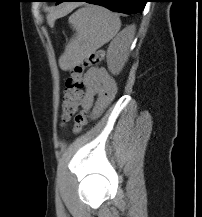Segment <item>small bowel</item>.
<instances>
[{"label": "small bowel", "instance_id": "obj_1", "mask_svg": "<svg viewBox=\"0 0 202 217\" xmlns=\"http://www.w3.org/2000/svg\"><path fill=\"white\" fill-rule=\"evenodd\" d=\"M84 93L81 99L83 109L88 110L99 94L103 104L111 101L117 92L115 79L104 68H90L83 76Z\"/></svg>", "mask_w": 202, "mask_h": 217}]
</instances>
